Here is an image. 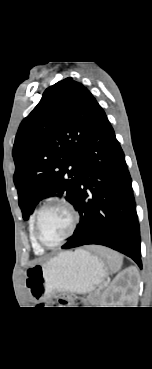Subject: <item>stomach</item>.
<instances>
[{
	"label": "stomach",
	"mask_w": 152,
	"mask_h": 369,
	"mask_svg": "<svg viewBox=\"0 0 152 369\" xmlns=\"http://www.w3.org/2000/svg\"><path fill=\"white\" fill-rule=\"evenodd\" d=\"M105 264L83 250L66 251L43 264L30 266L25 273L26 288L35 300L65 291L88 293L107 276Z\"/></svg>",
	"instance_id": "1"
}]
</instances>
